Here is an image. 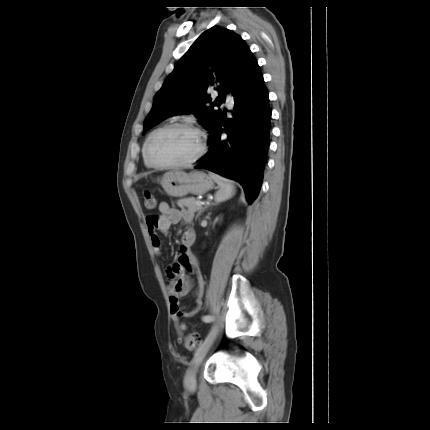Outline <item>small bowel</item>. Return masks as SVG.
<instances>
[{
    "mask_svg": "<svg viewBox=\"0 0 430 430\" xmlns=\"http://www.w3.org/2000/svg\"><path fill=\"white\" fill-rule=\"evenodd\" d=\"M158 208L160 215L150 216L146 220L152 249L155 255L161 254L157 230L162 233H167L172 224H177L180 221L189 223L193 219V214L190 211L173 208L167 202H161ZM194 241V230L187 228L181 237L178 258L169 266L167 272L170 278L168 288L170 292L171 319L179 339H181L184 332L187 331V325L183 322L182 317L190 318L198 313V306L202 304L204 294V280L199 269V262L191 250ZM187 273L194 275V281L189 278ZM192 288H194V301L197 308L189 312H184V307L180 305V300L186 297Z\"/></svg>",
    "mask_w": 430,
    "mask_h": 430,
    "instance_id": "obj_1",
    "label": "small bowel"
}]
</instances>
